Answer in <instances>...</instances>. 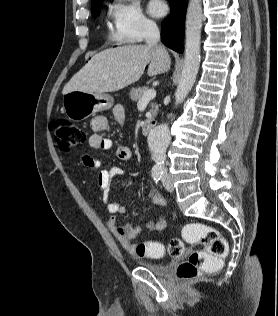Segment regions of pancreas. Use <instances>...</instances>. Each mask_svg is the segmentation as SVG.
Returning <instances> with one entry per match:
<instances>
[{
	"mask_svg": "<svg viewBox=\"0 0 278 316\" xmlns=\"http://www.w3.org/2000/svg\"><path fill=\"white\" fill-rule=\"evenodd\" d=\"M147 90H149V88L146 87V86H144V87H139V88H132L131 91H130V93H129V97H130V99H131L132 101L137 102V101L140 100V98L144 95V93H145ZM157 110H158V105L152 103V104H151V110H150L152 116H151L147 121L152 120V119L156 116Z\"/></svg>",
	"mask_w": 278,
	"mask_h": 316,
	"instance_id": "1",
	"label": "pancreas"
}]
</instances>
